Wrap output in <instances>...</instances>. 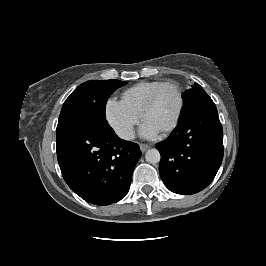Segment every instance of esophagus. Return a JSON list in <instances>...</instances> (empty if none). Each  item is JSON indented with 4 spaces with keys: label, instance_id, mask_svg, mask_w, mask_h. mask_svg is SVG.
<instances>
[{
    "label": "esophagus",
    "instance_id": "34e87169",
    "mask_svg": "<svg viewBox=\"0 0 266 266\" xmlns=\"http://www.w3.org/2000/svg\"><path fill=\"white\" fill-rule=\"evenodd\" d=\"M150 148V146L148 144H140V150L144 153L145 151H147Z\"/></svg>",
    "mask_w": 266,
    "mask_h": 266
}]
</instances>
